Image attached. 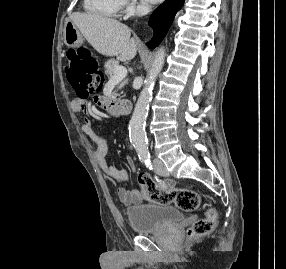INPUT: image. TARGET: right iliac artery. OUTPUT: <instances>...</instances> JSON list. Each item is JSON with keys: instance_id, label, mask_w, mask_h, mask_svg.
<instances>
[{"instance_id": "82829eb1", "label": "right iliac artery", "mask_w": 286, "mask_h": 269, "mask_svg": "<svg viewBox=\"0 0 286 269\" xmlns=\"http://www.w3.org/2000/svg\"><path fill=\"white\" fill-rule=\"evenodd\" d=\"M143 161H144V163H145V165H146L147 168H149L150 170L153 169V165H152V163H151V161H150L149 158H146V159H144ZM156 180H158V179L156 178Z\"/></svg>"}]
</instances>
